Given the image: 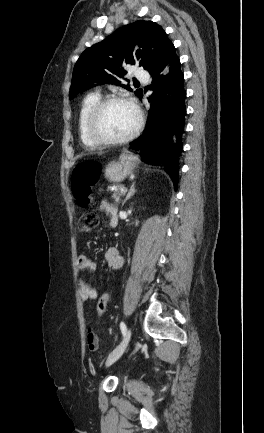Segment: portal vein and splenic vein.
I'll use <instances>...</instances> for the list:
<instances>
[{"label":"portal vein and splenic vein","mask_w":264,"mask_h":433,"mask_svg":"<svg viewBox=\"0 0 264 433\" xmlns=\"http://www.w3.org/2000/svg\"><path fill=\"white\" fill-rule=\"evenodd\" d=\"M121 192L126 193L127 192V188H121Z\"/></svg>","instance_id":"18ae733b"}]
</instances>
